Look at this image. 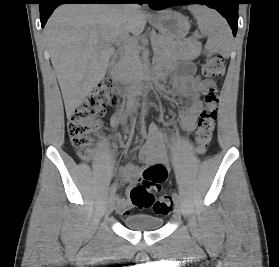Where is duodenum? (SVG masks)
I'll list each match as a JSON object with an SVG mask.
<instances>
[{
  "label": "duodenum",
  "mask_w": 279,
  "mask_h": 267,
  "mask_svg": "<svg viewBox=\"0 0 279 267\" xmlns=\"http://www.w3.org/2000/svg\"><path fill=\"white\" fill-rule=\"evenodd\" d=\"M110 79L117 87L119 94L130 102L135 96L142 94L149 86L151 81L157 80L158 75L144 76L135 83H127L124 79L121 63H115L109 71Z\"/></svg>",
  "instance_id": "duodenum-1"
}]
</instances>
